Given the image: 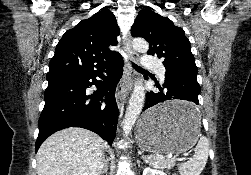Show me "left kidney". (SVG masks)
<instances>
[{
	"instance_id": "obj_1",
	"label": "left kidney",
	"mask_w": 251,
	"mask_h": 175,
	"mask_svg": "<svg viewBox=\"0 0 251 175\" xmlns=\"http://www.w3.org/2000/svg\"><path fill=\"white\" fill-rule=\"evenodd\" d=\"M143 175H166L163 169H153V167H145Z\"/></svg>"
}]
</instances>
